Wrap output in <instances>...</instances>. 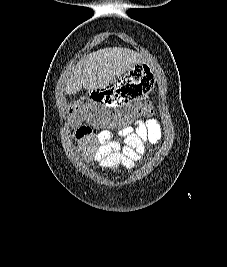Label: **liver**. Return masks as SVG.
Returning a JSON list of instances; mask_svg holds the SVG:
<instances>
[{"instance_id": "6515ba94", "label": "liver", "mask_w": 227, "mask_h": 267, "mask_svg": "<svg viewBox=\"0 0 227 267\" xmlns=\"http://www.w3.org/2000/svg\"><path fill=\"white\" fill-rule=\"evenodd\" d=\"M141 61L137 53L126 48L100 49L87 56L83 69L82 65L78 64L68 73L64 90L67 94H74L82 87L88 91H93V87H106V82H112V77H119L120 73L131 68V64Z\"/></svg>"}]
</instances>
